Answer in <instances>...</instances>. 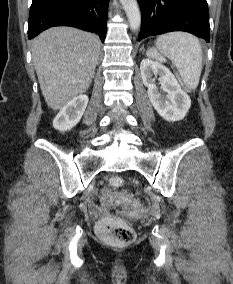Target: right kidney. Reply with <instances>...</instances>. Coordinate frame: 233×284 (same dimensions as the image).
I'll use <instances>...</instances> for the list:
<instances>
[{"label":"right kidney","mask_w":233,"mask_h":284,"mask_svg":"<svg viewBox=\"0 0 233 284\" xmlns=\"http://www.w3.org/2000/svg\"><path fill=\"white\" fill-rule=\"evenodd\" d=\"M87 104L86 95H78L72 99L54 118L53 127L61 132L71 130L82 118Z\"/></svg>","instance_id":"right-kidney-1"}]
</instances>
